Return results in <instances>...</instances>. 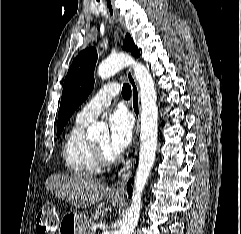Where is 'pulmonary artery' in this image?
Instances as JSON below:
<instances>
[{"instance_id": "1", "label": "pulmonary artery", "mask_w": 241, "mask_h": 234, "mask_svg": "<svg viewBox=\"0 0 241 234\" xmlns=\"http://www.w3.org/2000/svg\"><path fill=\"white\" fill-rule=\"evenodd\" d=\"M120 87L115 84H107L78 112L77 120L91 122L106 109L113 97L118 95Z\"/></svg>"}]
</instances>
